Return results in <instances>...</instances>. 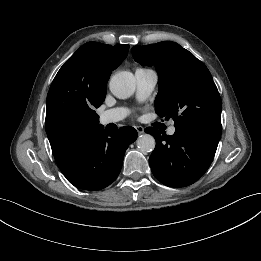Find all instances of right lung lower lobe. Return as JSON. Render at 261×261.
Returning <instances> with one entry per match:
<instances>
[{
	"label": "right lung lower lobe",
	"mask_w": 261,
	"mask_h": 261,
	"mask_svg": "<svg viewBox=\"0 0 261 261\" xmlns=\"http://www.w3.org/2000/svg\"><path fill=\"white\" fill-rule=\"evenodd\" d=\"M136 138L137 131L130 126L116 132L102 128L60 170L77 188L91 191L103 189L119 175L125 151Z\"/></svg>",
	"instance_id": "1"
}]
</instances>
